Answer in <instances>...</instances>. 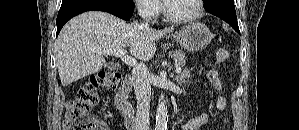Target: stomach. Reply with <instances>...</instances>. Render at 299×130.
I'll return each mask as SVG.
<instances>
[{
	"mask_svg": "<svg viewBox=\"0 0 299 130\" xmlns=\"http://www.w3.org/2000/svg\"><path fill=\"white\" fill-rule=\"evenodd\" d=\"M173 38L190 52L203 50L212 40L208 27L200 22H193L175 32Z\"/></svg>",
	"mask_w": 299,
	"mask_h": 130,
	"instance_id": "1",
	"label": "stomach"
}]
</instances>
